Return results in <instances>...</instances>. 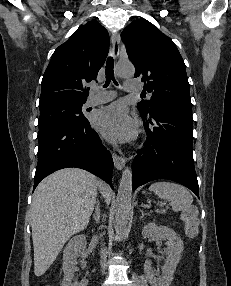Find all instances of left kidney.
Here are the masks:
<instances>
[{
    "mask_svg": "<svg viewBox=\"0 0 231 286\" xmlns=\"http://www.w3.org/2000/svg\"><path fill=\"white\" fill-rule=\"evenodd\" d=\"M144 238L155 237L158 243L167 240L166 261L162 267V273L152 268L151 261L144 263V273L151 286H169L173 280V274L181 259V252L184 249L183 241L175 231L166 227L158 226L155 223H148L142 229Z\"/></svg>",
    "mask_w": 231,
    "mask_h": 286,
    "instance_id": "1",
    "label": "left kidney"
}]
</instances>
